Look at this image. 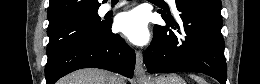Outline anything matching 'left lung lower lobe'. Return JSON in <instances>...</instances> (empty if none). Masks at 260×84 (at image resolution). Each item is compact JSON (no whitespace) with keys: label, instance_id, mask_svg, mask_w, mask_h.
Returning a JSON list of instances; mask_svg holds the SVG:
<instances>
[{"label":"left lung lower lobe","instance_id":"obj_1","mask_svg":"<svg viewBox=\"0 0 260 84\" xmlns=\"http://www.w3.org/2000/svg\"><path fill=\"white\" fill-rule=\"evenodd\" d=\"M176 7L180 26L173 17L160 11L174 31L154 27V39L144 54L147 71L199 72L226 84L221 7L194 0H176Z\"/></svg>","mask_w":260,"mask_h":84}]
</instances>
